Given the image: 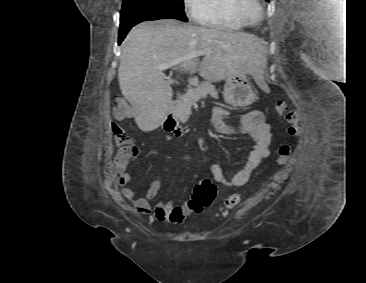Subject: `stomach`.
<instances>
[{
    "mask_svg": "<svg viewBox=\"0 0 366 283\" xmlns=\"http://www.w3.org/2000/svg\"><path fill=\"white\" fill-rule=\"evenodd\" d=\"M246 92L253 98L252 89L248 82L246 73H234L226 78V84L224 87V100L231 105H237L236 94L238 92ZM252 102V99L249 101Z\"/></svg>",
    "mask_w": 366,
    "mask_h": 283,
    "instance_id": "obj_1",
    "label": "stomach"
}]
</instances>
